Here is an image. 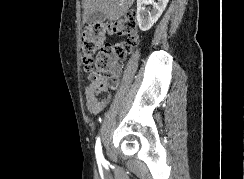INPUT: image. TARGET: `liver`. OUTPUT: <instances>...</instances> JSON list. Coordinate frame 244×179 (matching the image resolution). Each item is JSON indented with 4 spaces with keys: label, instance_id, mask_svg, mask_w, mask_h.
Wrapping results in <instances>:
<instances>
[{
    "label": "liver",
    "instance_id": "6515ba94",
    "mask_svg": "<svg viewBox=\"0 0 244 179\" xmlns=\"http://www.w3.org/2000/svg\"><path fill=\"white\" fill-rule=\"evenodd\" d=\"M84 8L83 20L94 14V12H102L107 20H119L121 16L127 14L134 0H82Z\"/></svg>",
    "mask_w": 244,
    "mask_h": 179
}]
</instances>
